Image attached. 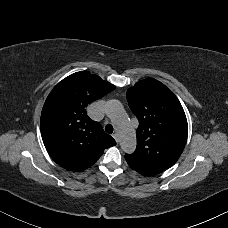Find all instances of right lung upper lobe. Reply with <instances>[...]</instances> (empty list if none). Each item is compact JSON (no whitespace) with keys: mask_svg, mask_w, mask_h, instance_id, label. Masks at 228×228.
<instances>
[{"mask_svg":"<svg viewBox=\"0 0 228 228\" xmlns=\"http://www.w3.org/2000/svg\"><path fill=\"white\" fill-rule=\"evenodd\" d=\"M99 76L81 71L59 82L41 113V135L52 159L61 167L82 171L93 165L106 148L116 145L101 125L90 119L86 107L113 91Z\"/></svg>","mask_w":228,"mask_h":228,"instance_id":"obj_1","label":"right lung upper lobe"}]
</instances>
